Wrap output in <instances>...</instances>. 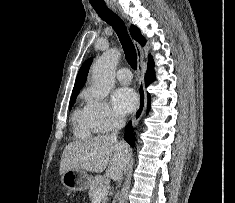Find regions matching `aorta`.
Instances as JSON below:
<instances>
[{"mask_svg": "<svg viewBox=\"0 0 235 203\" xmlns=\"http://www.w3.org/2000/svg\"><path fill=\"white\" fill-rule=\"evenodd\" d=\"M120 58V51L115 48L108 50L99 57L92 68L94 96L104 99L115 85V69Z\"/></svg>", "mask_w": 235, "mask_h": 203, "instance_id": "1", "label": "aorta"}]
</instances>
